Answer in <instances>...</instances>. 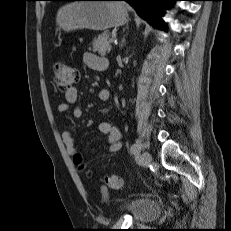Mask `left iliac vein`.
<instances>
[{
    "label": "left iliac vein",
    "mask_w": 231,
    "mask_h": 231,
    "mask_svg": "<svg viewBox=\"0 0 231 231\" xmlns=\"http://www.w3.org/2000/svg\"><path fill=\"white\" fill-rule=\"evenodd\" d=\"M152 162V155L148 151H144L142 154V164L143 166H149Z\"/></svg>",
    "instance_id": "left-iliac-vein-1"
}]
</instances>
